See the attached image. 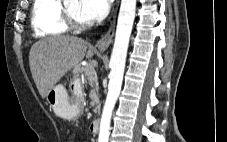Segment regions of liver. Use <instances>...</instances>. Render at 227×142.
Masks as SVG:
<instances>
[{"label":"liver","instance_id":"1","mask_svg":"<svg viewBox=\"0 0 227 142\" xmlns=\"http://www.w3.org/2000/svg\"><path fill=\"white\" fill-rule=\"evenodd\" d=\"M82 38L57 35L37 41L29 52L32 77L42 98L83 58H91L94 48Z\"/></svg>","mask_w":227,"mask_h":142}]
</instances>
